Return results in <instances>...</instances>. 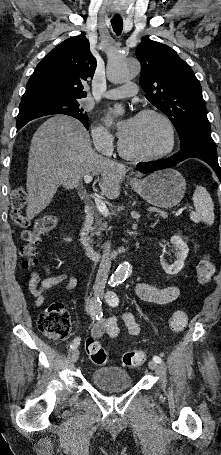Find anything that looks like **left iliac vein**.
Returning a JSON list of instances; mask_svg holds the SVG:
<instances>
[{"label": "left iliac vein", "mask_w": 221, "mask_h": 455, "mask_svg": "<svg viewBox=\"0 0 221 455\" xmlns=\"http://www.w3.org/2000/svg\"><path fill=\"white\" fill-rule=\"evenodd\" d=\"M148 367L152 370H157L159 368V365L155 361H149Z\"/></svg>", "instance_id": "4c4485c4"}]
</instances>
